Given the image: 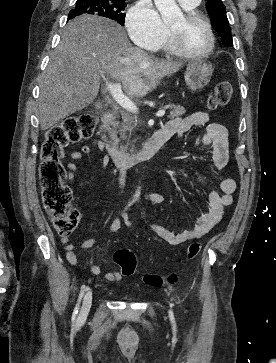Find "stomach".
<instances>
[{
  "instance_id": "0dacf381",
  "label": "stomach",
  "mask_w": 276,
  "mask_h": 363,
  "mask_svg": "<svg viewBox=\"0 0 276 363\" xmlns=\"http://www.w3.org/2000/svg\"><path fill=\"white\" fill-rule=\"evenodd\" d=\"M213 73L211 64L194 62L188 64L184 78L186 85L192 90H200L210 82Z\"/></svg>"
}]
</instances>
